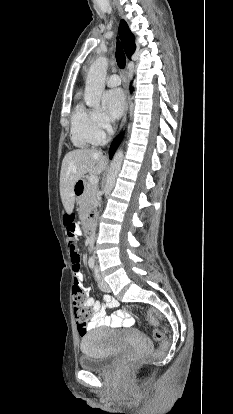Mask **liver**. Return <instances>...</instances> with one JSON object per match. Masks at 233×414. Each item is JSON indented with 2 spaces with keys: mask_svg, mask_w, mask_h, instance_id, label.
<instances>
[{
  "mask_svg": "<svg viewBox=\"0 0 233 414\" xmlns=\"http://www.w3.org/2000/svg\"><path fill=\"white\" fill-rule=\"evenodd\" d=\"M108 159L96 149H76L67 153L60 172V196L68 214L72 213L75 202L74 186L83 175H100Z\"/></svg>",
  "mask_w": 233,
  "mask_h": 414,
  "instance_id": "liver-1",
  "label": "liver"
}]
</instances>
